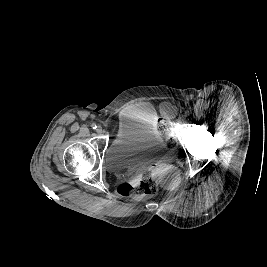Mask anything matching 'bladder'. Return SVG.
I'll use <instances>...</instances> for the list:
<instances>
[{"mask_svg":"<svg viewBox=\"0 0 267 267\" xmlns=\"http://www.w3.org/2000/svg\"><path fill=\"white\" fill-rule=\"evenodd\" d=\"M161 144L162 137L151 109L125 110L117 135L106 152V167L111 172L136 168L151 159Z\"/></svg>","mask_w":267,"mask_h":267,"instance_id":"obj_1","label":"bladder"}]
</instances>
